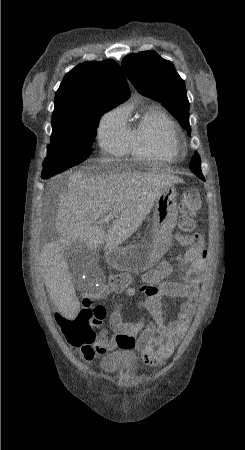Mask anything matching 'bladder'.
<instances>
[{
    "label": "bladder",
    "mask_w": 245,
    "mask_h": 450,
    "mask_svg": "<svg viewBox=\"0 0 245 450\" xmlns=\"http://www.w3.org/2000/svg\"><path fill=\"white\" fill-rule=\"evenodd\" d=\"M101 367L107 375L120 373L134 374L138 370V362L134 352L130 349L113 352L101 360Z\"/></svg>",
    "instance_id": "31cf9c89"
}]
</instances>
